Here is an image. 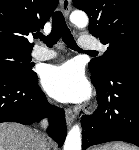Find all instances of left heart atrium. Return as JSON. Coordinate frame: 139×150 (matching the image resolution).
Instances as JSON below:
<instances>
[{"label": "left heart atrium", "instance_id": "obj_1", "mask_svg": "<svg viewBox=\"0 0 139 150\" xmlns=\"http://www.w3.org/2000/svg\"><path fill=\"white\" fill-rule=\"evenodd\" d=\"M45 91L61 102H81L90 96V87L76 63L47 68L42 75Z\"/></svg>", "mask_w": 139, "mask_h": 150}]
</instances>
